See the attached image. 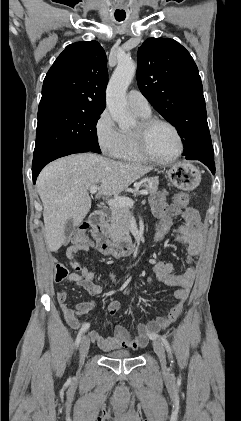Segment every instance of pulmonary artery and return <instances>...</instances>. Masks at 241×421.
<instances>
[{"label": "pulmonary artery", "instance_id": "e3ab8cb5", "mask_svg": "<svg viewBox=\"0 0 241 421\" xmlns=\"http://www.w3.org/2000/svg\"><path fill=\"white\" fill-rule=\"evenodd\" d=\"M128 105L129 107L136 112L148 114L150 113V105L144 95L137 91L131 90L128 93Z\"/></svg>", "mask_w": 241, "mask_h": 421}]
</instances>
